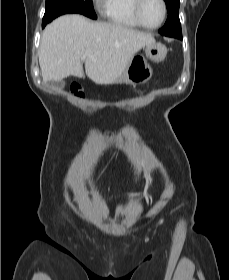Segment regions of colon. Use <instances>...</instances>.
<instances>
[{
	"instance_id": "5ec220e1",
	"label": "colon",
	"mask_w": 229,
	"mask_h": 280,
	"mask_svg": "<svg viewBox=\"0 0 229 280\" xmlns=\"http://www.w3.org/2000/svg\"><path fill=\"white\" fill-rule=\"evenodd\" d=\"M71 91L73 94H75L76 96H79V97H82L84 94L83 87L79 84L72 85Z\"/></svg>"
}]
</instances>
